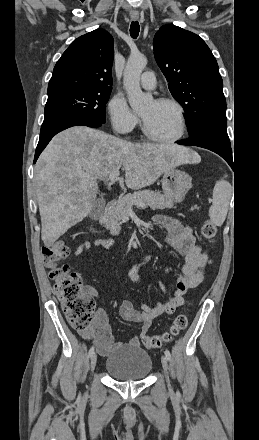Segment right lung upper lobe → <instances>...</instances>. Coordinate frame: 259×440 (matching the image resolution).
I'll list each match as a JSON object with an SVG mask.
<instances>
[{
	"instance_id": "cb5924a9",
	"label": "right lung upper lobe",
	"mask_w": 259,
	"mask_h": 440,
	"mask_svg": "<svg viewBox=\"0 0 259 440\" xmlns=\"http://www.w3.org/2000/svg\"><path fill=\"white\" fill-rule=\"evenodd\" d=\"M114 43L104 29L74 40L57 61L48 94L68 89L112 90Z\"/></svg>"
}]
</instances>
